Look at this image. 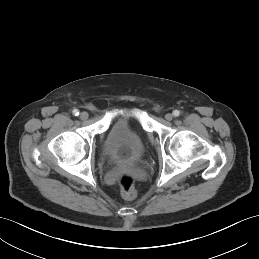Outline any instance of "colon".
Returning a JSON list of instances; mask_svg holds the SVG:
<instances>
[{
	"label": "colon",
	"mask_w": 259,
	"mask_h": 259,
	"mask_svg": "<svg viewBox=\"0 0 259 259\" xmlns=\"http://www.w3.org/2000/svg\"><path fill=\"white\" fill-rule=\"evenodd\" d=\"M119 187L122 195L125 198L133 199L137 196L138 192L135 187V179L129 173H123L118 180Z\"/></svg>",
	"instance_id": "colon-1"
}]
</instances>
